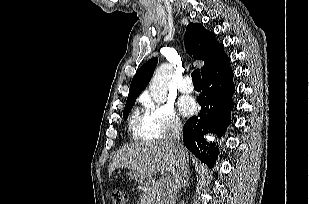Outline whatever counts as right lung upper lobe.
Instances as JSON below:
<instances>
[{
    "label": "right lung upper lobe",
    "mask_w": 309,
    "mask_h": 204,
    "mask_svg": "<svg viewBox=\"0 0 309 204\" xmlns=\"http://www.w3.org/2000/svg\"><path fill=\"white\" fill-rule=\"evenodd\" d=\"M184 42L191 57L204 61V66L201 68L202 78L221 71L230 63L223 44L219 43L215 39V34L207 31L202 24L190 23L187 26ZM157 62V58H152L136 72L127 100L136 99L139 96L149 82Z\"/></svg>",
    "instance_id": "right-lung-upper-lobe-1"
}]
</instances>
